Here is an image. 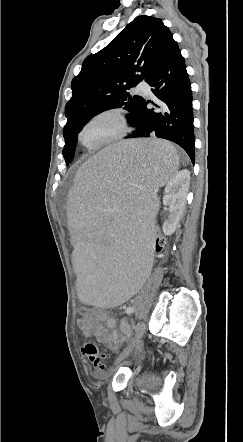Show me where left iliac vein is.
I'll return each instance as SVG.
<instances>
[{"mask_svg": "<svg viewBox=\"0 0 243 442\" xmlns=\"http://www.w3.org/2000/svg\"><path fill=\"white\" fill-rule=\"evenodd\" d=\"M146 328V324L144 321H140L135 330V334L128 345V347L123 351V353L115 360V364L119 365L125 358L129 356V354L134 350H139L142 347V336L144 334Z\"/></svg>", "mask_w": 243, "mask_h": 442, "instance_id": "obj_1", "label": "left iliac vein"}]
</instances>
